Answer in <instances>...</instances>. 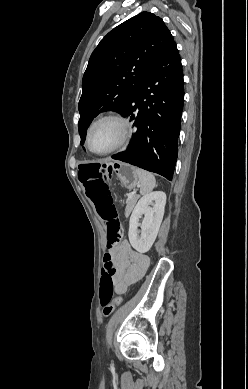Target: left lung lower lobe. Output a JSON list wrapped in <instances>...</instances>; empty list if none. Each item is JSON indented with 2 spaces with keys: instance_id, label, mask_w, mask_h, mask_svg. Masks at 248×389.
Masks as SVG:
<instances>
[{
  "instance_id": "0a47b994",
  "label": "left lung lower lobe",
  "mask_w": 248,
  "mask_h": 389,
  "mask_svg": "<svg viewBox=\"0 0 248 389\" xmlns=\"http://www.w3.org/2000/svg\"><path fill=\"white\" fill-rule=\"evenodd\" d=\"M184 102L180 55L174 43L150 69L138 92L121 113L135 120L132 140L113 159L172 180Z\"/></svg>"
}]
</instances>
